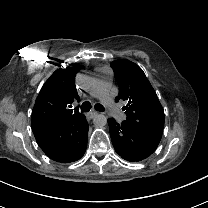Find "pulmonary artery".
<instances>
[{"instance_id": "pulmonary-artery-1", "label": "pulmonary artery", "mask_w": 208, "mask_h": 208, "mask_svg": "<svg viewBox=\"0 0 208 208\" xmlns=\"http://www.w3.org/2000/svg\"><path fill=\"white\" fill-rule=\"evenodd\" d=\"M111 75V69L108 66L98 67L95 69L93 84L90 89V96L99 97L101 101L106 105L109 111H111L115 118L121 122L125 120L126 116L121 114L120 109L114 104L105 92L108 88V81Z\"/></svg>"}]
</instances>
